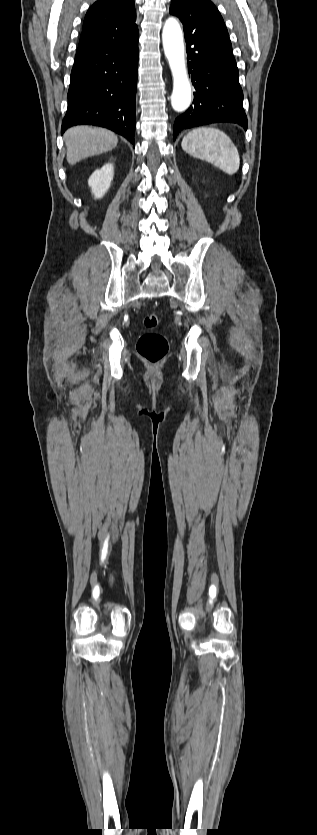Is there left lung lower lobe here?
I'll use <instances>...</instances> for the list:
<instances>
[{
  "mask_svg": "<svg viewBox=\"0 0 317 835\" xmlns=\"http://www.w3.org/2000/svg\"><path fill=\"white\" fill-rule=\"evenodd\" d=\"M184 34L196 91L194 106L175 120L173 139L184 129L218 122L236 123L247 130L237 64L223 19L192 16Z\"/></svg>",
  "mask_w": 317,
  "mask_h": 835,
  "instance_id": "obj_1",
  "label": "left lung lower lobe"
}]
</instances>
